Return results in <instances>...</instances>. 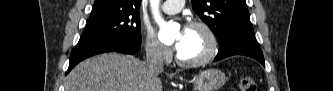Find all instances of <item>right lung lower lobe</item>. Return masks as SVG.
Instances as JSON below:
<instances>
[{
    "mask_svg": "<svg viewBox=\"0 0 333 91\" xmlns=\"http://www.w3.org/2000/svg\"><path fill=\"white\" fill-rule=\"evenodd\" d=\"M140 50V43H134L121 37L102 36L85 37L82 36L73 49L70 56V63L66 74L73 69L80 61L96 54L105 52H121L125 54H135Z\"/></svg>",
    "mask_w": 333,
    "mask_h": 91,
    "instance_id": "98d812e1",
    "label": "right lung lower lobe"
}]
</instances>
